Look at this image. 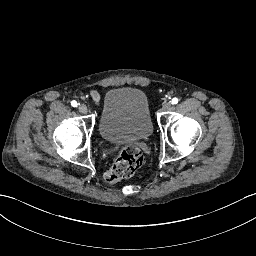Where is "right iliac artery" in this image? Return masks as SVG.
Masks as SVG:
<instances>
[{
  "label": "right iliac artery",
  "mask_w": 256,
  "mask_h": 256,
  "mask_svg": "<svg viewBox=\"0 0 256 256\" xmlns=\"http://www.w3.org/2000/svg\"><path fill=\"white\" fill-rule=\"evenodd\" d=\"M71 105H72L73 107H77V106H78V103H77L75 100H73V101L71 102Z\"/></svg>",
  "instance_id": "right-iliac-artery-1"
}]
</instances>
